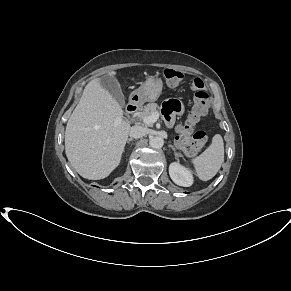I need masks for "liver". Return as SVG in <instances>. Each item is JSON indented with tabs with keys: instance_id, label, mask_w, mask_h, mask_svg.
Masks as SVG:
<instances>
[{
	"instance_id": "6515ba94",
	"label": "liver",
	"mask_w": 291,
	"mask_h": 291,
	"mask_svg": "<svg viewBox=\"0 0 291 291\" xmlns=\"http://www.w3.org/2000/svg\"><path fill=\"white\" fill-rule=\"evenodd\" d=\"M118 118L121 122L115 126ZM130 129L121 106L100 78L91 80L66 126L65 151L71 166L83 178H106L120 164Z\"/></svg>"
}]
</instances>
